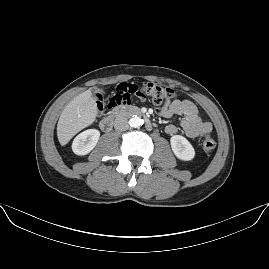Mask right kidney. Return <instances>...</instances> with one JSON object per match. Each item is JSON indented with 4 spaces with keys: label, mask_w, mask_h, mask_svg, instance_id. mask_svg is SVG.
Returning <instances> with one entry per match:
<instances>
[{
    "label": "right kidney",
    "mask_w": 269,
    "mask_h": 269,
    "mask_svg": "<svg viewBox=\"0 0 269 269\" xmlns=\"http://www.w3.org/2000/svg\"><path fill=\"white\" fill-rule=\"evenodd\" d=\"M99 131L88 129L80 133L73 141L72 149L76 154L84 155L90 152L96 145Z\"/></svg>",
    "instance_id": "obj_1"
}]
</instances>
